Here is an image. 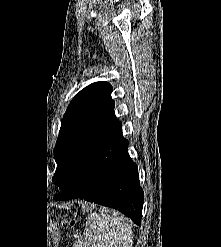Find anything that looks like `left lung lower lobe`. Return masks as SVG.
<instances>
[{
  "mask_svg": "<svg viewBox=\"0 0 221 247\" xmlns=\"http://www.w3.org/2000/svg\"><path fill=\"white\" fill-rule=\"evenodd\" d=\"M128 144L122 136L121 122L108 127L92 146L79 174L54 199L83 198L112 207L141 226L144 194Z\"/></svg>",
  "mask_w": 221,
  "mask_h": 247,
  "instance_id": "obj_1",
  "label": "left lung lower lobe"
}]
</instances>
